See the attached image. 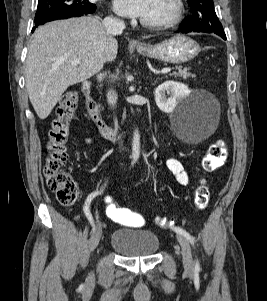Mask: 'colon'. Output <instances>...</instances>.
Returning <instances> with one entry per match:
<instances>
[{
    "label": "colon",
    "mask_w": 267,
    "mask_h": 301,
    "mask_svg": "<svg viewBox=\"0 0 267 301\" xmlns=\"http://www.w3.org/2000/svg\"><path fill=\"white\" fill-rule=\"evenodd\" d=\"M79 96L76 91L66 92L57 107L56 118L48 134V157L44 167L49 189L55 193L58 202L65 206L72 205L78 196V188L74 179L63 170L68 160L67 142L69 123L77 108ZM228 156L226 144L215 142L202 159L204 172H211L221 167ZM210 200V192L206 180L202 178L195 189L194 202L198 209H205ZM104 212L108 219L119 224L138 225L142 218L128 208L120 206L111 195L104 198ZM161 226L169 227L165 219H158Z\"/></svg>",
    "instance_id": "5ec220e1"
}]
</instances>
